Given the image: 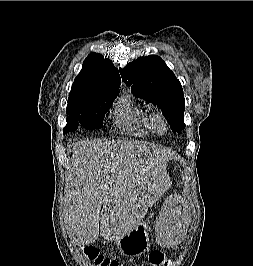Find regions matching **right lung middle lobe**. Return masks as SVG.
Masks as SVG:
<instances>
[{
    "label": "right lung middle lobe",
    "instance_id": "right-lung-middle-lobe-1",
    "mask_svg": "<svg viewBox=\"0 0 253 266\" xmlns=\"http://www.w3.org/2000/svg\"><path fill=\"white\" fill-rule=\"evenodd\" d=\"M117 96L84 103V104H68L66 113L67 125L64 132L74 131L79 124L88 129H98L103 126L105 114Z\"/></svg>",
    "mask_w": 253,
    "mask_h": 266
}]
</instances>
